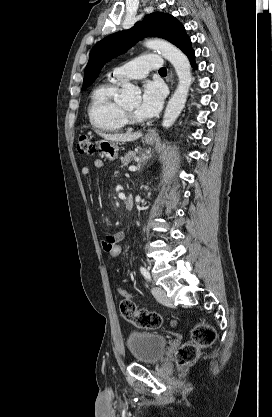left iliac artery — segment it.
I'll return each mask as SVG.
<instances>
[{
  "label": "left iliac artery",
  "mask_w": 272,
  "mask_h": 417,
  "mask_svg": "<svg viewBox=\"0 0 272 417\" xmlns=\"http://www.w3.org/2000/svg\"><path fill=\"white\" fill-rule=\"evenodd\" d=\"M140 271H141V274L147 279V280H151V276H150V273H149V271L146 269V268H144V267H140Z\"/></svg>",
  "instance_id": "left-iliac-artery-1"
}]
</instances>
